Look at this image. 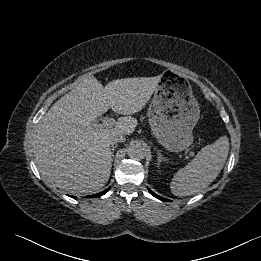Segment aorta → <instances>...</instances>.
<instances>
[{
    "label": "aorta",
    "instance_id": "1",
    "mask_svg": "<svg viewBox=\"0 0 261 261\" xmlns=\"http://www.w3.org/2000/svg\"><path fill=\"white\" fill-rule=\"evenodd\" d=\"M145 153V148L140 143L132 144L128 151L129 157L134 160L144 159Z\"/></svg>",
    "mask_w": 261,
    "mask_h": 261
}]
</instances>
